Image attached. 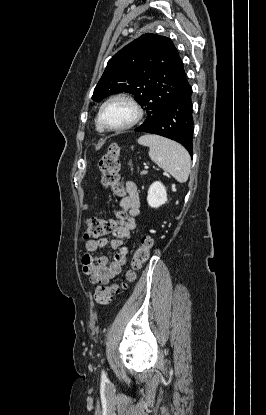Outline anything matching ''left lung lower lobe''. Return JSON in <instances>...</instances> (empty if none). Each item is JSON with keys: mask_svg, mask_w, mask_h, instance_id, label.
Segmentation results:
<instances>
[{"mask_svg": "<svg viewBox=\"0 0 266 415\" xmlns=\"http://www.w3.org/2000/svg\"><path fill=\"white\" fill-rule=\"evenodd\" d=\"M135 131L157 134L175 140L182 144L192 156V87L188 80L153 123L143 128H136Z\"/></svg>", "mask_w": 266, "mask_h": 415, "instance_id": "1", "label": "left lung lower lobe"}]
</instances>
